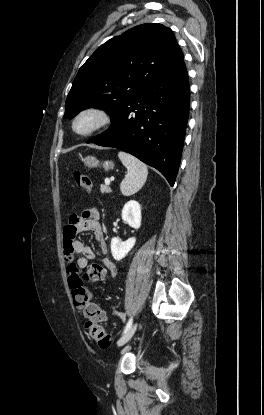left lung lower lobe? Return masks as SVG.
I'll list each match as a JSON object with an SVG mask.
<instances>
[{
    "instance_id": "obj_1",
    "label": "left lung lower lobe",
    "mask_w": 264,
    "mask_h": 415,
    "mask_svg": "<svg viewBox=\"0 0 264 415\" xmlns=\"http://www.w3.org/2000/svg\"><path fill=\"white\" fill-rule=\"evenodd\" d=\"M190 105L182 60L146 86L112 119L110 128L88 143L115 147L159 170L171 186L178 173Z\"/></svg>"
}]
</instances>
